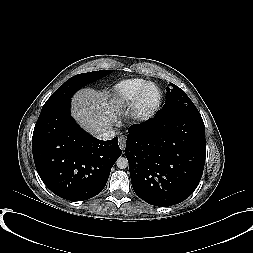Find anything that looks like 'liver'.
<instances>
[{"label":"liver","mask_w":253,"mask_h":253,"mask_svg":"<svg viewBox=\"0 0 253 253\" xmlns=\"http://www.w3.org/2000/svg\"><path fill=\"white\" fill-rule=\"evenodd\" d=\"M123 115L120 102L109 92L85 88L72 98V116L86 131L95 135L103 129L120 126Z\"/></svg>","instance_id":"obj_1"}]
</instances>
